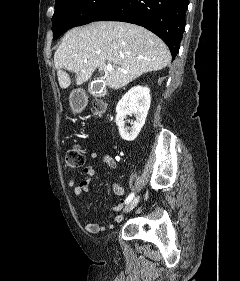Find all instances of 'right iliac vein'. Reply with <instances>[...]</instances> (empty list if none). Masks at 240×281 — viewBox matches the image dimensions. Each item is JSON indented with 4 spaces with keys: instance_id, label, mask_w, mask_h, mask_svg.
Instances as JSON below:
<instances>
[{
    "instance_id": "right-iliac-vein-1",
    "label": "right iliac vein",
    "mask_w": 240,
    "mask_h": 281,
    "mask_svg": "<svg viewBox=\"0 0 240 281\" xmlns=\"http://www.w3.org/2000/svg\"><path fill=\"white\" fill-rule=\"evenodd\" d=\"M139 200H140V197H139V196L135 197L133 200H131V201L125 206L123 212H124V213H128V212H130L131 210H133V209L137 206Z\"/></svg>"
}]
</instances>
